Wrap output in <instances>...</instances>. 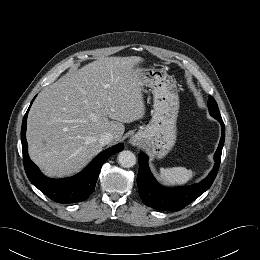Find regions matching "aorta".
<instances>
[{"label":"aorta","mask_w":260,"mask_h":260,"mask_svg":"<svg viewBox=\"0 0 260 260\" xmlns=\"http://www.w3.org/2000/svg\"><path fill=\"white\" fill-rule=\"evenodd\" d=\"M118 163L124 168L133 167L136 164V156L129 150H123L118 154Z\"/></svg>","instance_id":"762f6f07"}]
</instances>
